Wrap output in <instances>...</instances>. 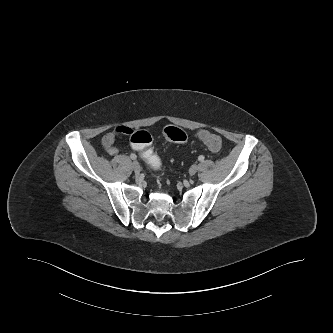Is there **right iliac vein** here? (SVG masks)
<instances>
[{
    "label": "right iliac vein",
    "instance_id": "obj_1",
    "mask_svg": "<svg viewBox=\"0 0 333 333\" xmlns=\"http://www.w3.org/2000/svg\"><path fill=\"white\" fill-rule=\"evenodd\" d=\"M132 168L135 172H140V170H141L140 164L137 161H134L132 163Z\"/></svg>",
    "mask_w": 333,
    "mask_h": 333
}]
</instances>
